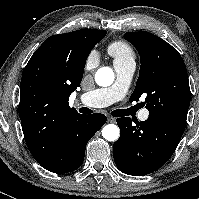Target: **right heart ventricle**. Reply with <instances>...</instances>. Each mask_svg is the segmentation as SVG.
Returning <instances> with one entry per match:
<instances>
[{
  "instance_id": "e07e8e85",
  "label": "right heart ventricle",
  "mask_w": 199,
  "mask_h": 199,
  "mask_svg": "<svg viewBox=\"0 0 199 199\" xmlns=\"http://www.w3.org/2000/svg\"><path fill=\"white\" fill-rule=\"evenodd\" d=\"M108 53L114 58V63L134 61V52L131 46L124 41H114L108 46Z\"/></svg>"
}]
</instances>
